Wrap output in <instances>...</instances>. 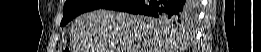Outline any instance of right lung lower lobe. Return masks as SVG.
<instances>
[{"mask_svg":"<svg viewBox=\"0 0 261 52\" xmlns=\"http://www.w3.org/2000/svg\"><path fill=\"white\" fill-rule=\"evenodd\" d=\"M103 8L154 17L180 16L192 9L185 0H114Z\"/></svg>","mask_w":261,"mask_h":52,"instance_id":"1","label":"right lung lower lobe"}]
</instances>
